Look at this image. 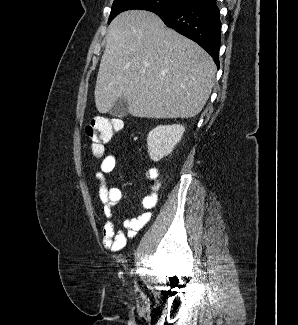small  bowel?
<instances>
[{
  "label": "small bowel",
  "instance_id": "small-bowel-1",
  "mask_svg": "<svg viewBox=\"0 0 298 325\" xmlns=\"http://www.w3.org/2000/svg\"><path fill=\"white\" fill-rule=\"evenodd\" d=\"M116 163V156H105L100 162L95 174L96 178L101 182L99 198L106 217V222L103 227V245L105 248L114 252L122 250L126 244L127 238L135 237L138 231L149 222L157 204V191L160 187L159 170L155 167L148 168L145 176L149 181L148 188L150 193L142 200V214L137 217L127 218L123 222V230L117 229L113 206L121 201L123 193L120 188H109L105 184L106 177L114 171Z\"/></svg>",
  "mask_w": 298,
  "mask_h": 325
}]
</instances>
